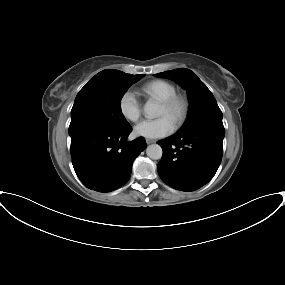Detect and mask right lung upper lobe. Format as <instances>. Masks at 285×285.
<instances>
[{
    "instance_id": "right-lung-upper-lobe-1",
    "label": "right lung upper lobe",
    "mask_w": 285,
    "mask_h": 285,
    "mask_svg": "<svg viewBox=\"0 0 285 285\" xmlns=\"http://www.w3.org/2000/svg\"><path fill=\"white\" fill-rule=\"evenodd\" d=\"M115 71H118V70L107 69V70L101 71L99 74H101V73H108V72H115Z\"/></svg>"
}]
</instances>
